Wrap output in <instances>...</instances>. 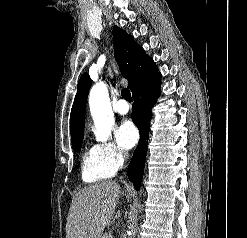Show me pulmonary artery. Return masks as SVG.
I'll return each mask as SVG.
<instances>
[{
	"label": "pulmonary artery",
	"mask_w": 247,
	"mask_h": 238,
	"mask_svg": "<svg viewBox=\"0 0 247 238\" xmlns=\"http://www.w3.org/2000/svg\"><path fill=\"white\" fill-rule=\"evenodd\" d=\"M114 109L117 113L124 115L129 112V105L125 100L120 99L116 102Z\"/></svg>",
	"instance_id": "1"
}]
</instances>
